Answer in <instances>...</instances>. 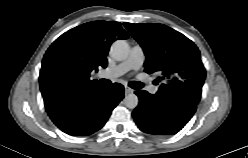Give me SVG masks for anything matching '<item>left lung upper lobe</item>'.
<instances>
[{
	"label": "left lung upper lobe",
	"mask_w": 248,
	"mask_h": 158,
	"mask_svg": "<svg viewBox=\"0 0 248 158\" xmlns=\"http://www.w3.org/2000/svg\"><path fill=\"white\" fill-rule=\"evenodd\" d=\"M146 55L145 72H157L164 81L156 93L165 100L197 105L206 71L197 46L186 36L163 24L124 23ZM159 82V78L156 79Z\"/></svg>",
	"instance_id": "obj_1"
}]
</instances>
